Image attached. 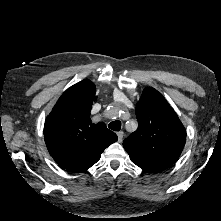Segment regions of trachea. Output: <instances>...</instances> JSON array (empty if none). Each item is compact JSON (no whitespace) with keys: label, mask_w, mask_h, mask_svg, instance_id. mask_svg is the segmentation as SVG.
<instances>
[{"label":"trachea","mask_w":221,"mask_h":221,"mask_svg":"<svg viewBox=\"0 0 221 221\" xmlns=\"http://www.w3.org/2000/svg\"><path fill=\"white\" fill-rule=\"evenodd\" d=\"M108 127L111 129V130H114V131H120L121 129V122L116 120V121H113L111 122Z\"/></svg>","instance_id":"trachea-1"}]
</instances>
